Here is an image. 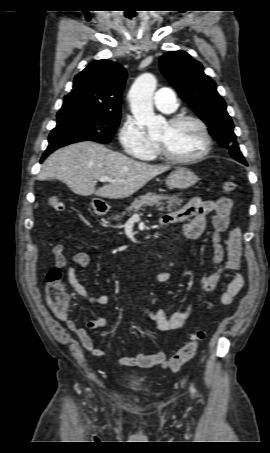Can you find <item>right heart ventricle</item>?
Returning <instances> with one entry per match:
<instances>
[{
    "mask_svg": "<svg viewBox=\"0 0 270 453\" xmlns=\"http://www.w3.org/2000/svg\"><path fill=\"white\" fill-rule=\"evenodd\" d=\"M157 156H158V149L156 147V149L150 155L145 157L144 159L145 160H154Z\"/></svg>",
    "mask_w": 270,
    "mask_h": 453,
    "instance_id": "1",
    "label": "right heart ventricle"
}]
</instances>
